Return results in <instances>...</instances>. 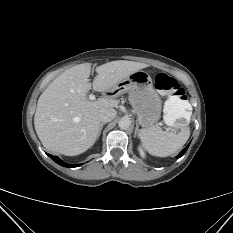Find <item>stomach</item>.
<instances>
[{"mask_svg":"<svg viewBox=\"0 0 233 233\" xmlns=\"http://www.w3.org/2000/svg\"><path fill=\"white\" fill-rule=\"evenodd\" d=\"M113 90L119 93L129 92V101L142 127H151L160 119L162 101L147 72L138 70L131 73Z\"/></svg>","mask_w":233,"mask_h":233,"instance_id":"stomach-1","label":"stomach"}]
</instances>
